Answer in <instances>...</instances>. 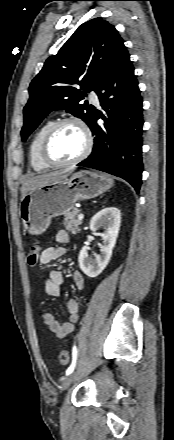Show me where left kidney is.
<instances>
[{"instance_id": "5707ae66", "label": "left kidney", "mask_w": 174, "mask_h": 440, "mask_svg": "<svg viewBox=\"0 0 174 440\" xmlns=\"http://www.w3.org/2000/svg\"><path fill=\"white\" fill-rule=\"evenodd\" d=\"M121 225V212L116 207L104 208L96 213L90 221V229L93 232L100 228L104 229L102 235L103 246L101 254L91 260L88 256L89 247L86 245L80 251L78 262L80 269L91 278L97 277L108 265L112 256V250L116 244Z\"/></svg>"}]
</instances>
